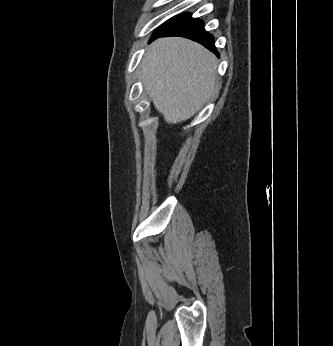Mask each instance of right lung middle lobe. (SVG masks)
I'll return each instance as SVG.
<instances>
[{
  "label": "right lung middle lobe",
  "mask_w": 333,
  "mask_h": 346,
  "mask_svg": "<svg viewBox=\"0 0 333 346\" xmlns=\"http://www.w3.org/2000/svg\"><path fill=\"white\" fill-rule=\"evenodd\" d=\"M177 16L175 17H172L171 19L167 20L166 22H164L158 29L155 33L157 32H160V31H163L165 30L176 18Z\"/></svg>",
  "instance_id": "right-lung-middle-lobe-1"
}]
</instances>
